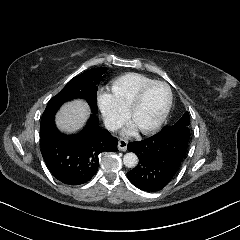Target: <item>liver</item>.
I'll return each mask as SVG.
<instances>
[{
  "label": "liver",
  "mask_w": 240,
  "mask_h": 240,
  "mask_svg": "<svg viewBox=\"0 0 240 240\" xmlns=\"http://www.w3.org/2000/svg\"><path fill=\"white\" fill-rule=\"evenodd\" d=\"M89 114V106L82 99L65 103L56 115L57 127L67 133L75 132L84 125Z\"/></svg>",
  "instance_id": "liver-1"
}]
</instances>
